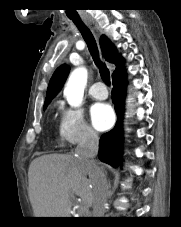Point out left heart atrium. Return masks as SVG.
<instances>
[{"label":"left heart atrium","mask_w":181,"mask_h":227,"mask_svg":"<svg viewBox=\"0 0 181 227\" xmlns=\"http://www.w3.org/2000/svg\"><path fill=\"white\" fill-rule=\"evenodd\" d=\"M90 116L93 126L98 130H106L114 123V112L106 103L94 104L90 109Z\"/></svg>","instance_id":"39dd6f15"}]
</instances>
